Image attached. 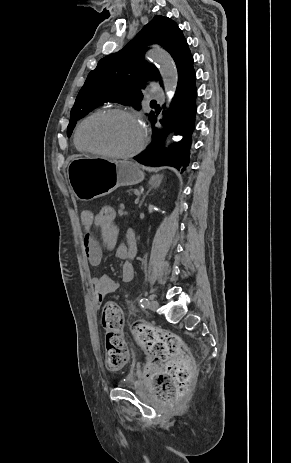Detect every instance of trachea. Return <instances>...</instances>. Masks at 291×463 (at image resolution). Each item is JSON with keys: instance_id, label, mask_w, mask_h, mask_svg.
I'll list each match as a JSON object with an SVG mask.
<instances>
[{"instance_id": "obj_1", "label": "trachea", "mask_w": 291, "mask_h": 463, "mask_svg": "<svg viewBox=\"0 0 291 463\" xmlns=\"http://www.w3.org/2000/svg\"><path fill=\"white\" fill-rule=\"evenodd\" d=\"M151 102L154 103V102H156V101L152 100Z\"/></svg>"}]
</instances>
